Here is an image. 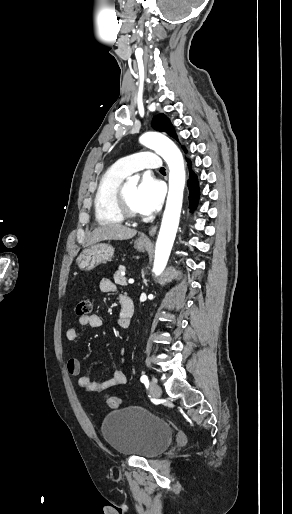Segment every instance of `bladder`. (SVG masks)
Returning a JSON list of instances; mask_svg holds the SVG:
<instances>
[{"label": "bladder", "instance_id": "31cf9c89", "mask_svg": "<svg viewBox=\"0 0 292 514\" xmlns=\"http://www.w3.org/2000/svg\"><path fill=\"white\" fill-rule=\"evenodd\" d=\"M100 432L118 454L150 459L162 453L173 438L172 427L139 407H125L109 413Z\"/></svg>", "mask_w": 292, "mask_h": 514}]
</instances>
